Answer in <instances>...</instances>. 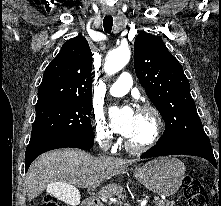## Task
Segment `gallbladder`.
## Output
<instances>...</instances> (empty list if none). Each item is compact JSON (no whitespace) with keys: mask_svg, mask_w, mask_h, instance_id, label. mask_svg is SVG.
<instances>
[{"mask_svg":"<svg viewBox=\"0 0 221 206\" xmlns=\"http://www.w3.org/2000/svg\"><path fill=\"white\" fill-rule=\"evenodd\" d=\"M73 185H63L62 181L58 185H50L52 198H58V202H65L66 205L81 206L82 193H77Z\"/></svg>","mask_w":221,"mask_h":206,"instance_id":"gallbladder-1","label":"gallbladder"}]
</instances>
